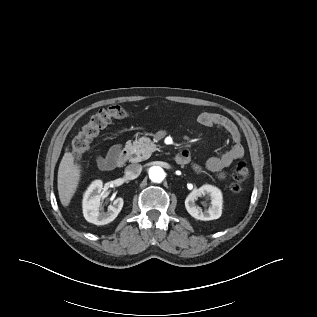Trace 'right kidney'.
Masks as SVG:
<instances>
[{
  "label": "right kidney",
  "instance_id": "ca27d5eb",
  "mask_svg": "<svg viewBox=\"0 0 317 317\" xmlns=\"http://www.w3.org/2000/svg\"><path fill=\"white\" fill-rule=\"evenodd\" d=\"M103 183L101 180L93 181L87 188L83 197V215L85 219L95 225H105L112 222L123 207V199L117 198L112 205L108 206V211L99 209L100 200L103 197Z\"/></svg>",
  "mask_w": 317,
  "mask_h": 317
}]
</instances>
